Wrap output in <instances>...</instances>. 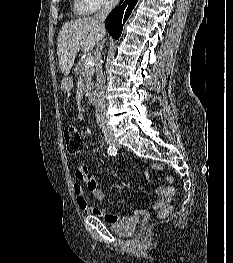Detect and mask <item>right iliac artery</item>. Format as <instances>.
Instances as JSON below:
<instances>
[{
	"instance_id": "1",
	"label": "right iliac artery",
	"mask_w": 233,
	"mask_h": 263,
	"mask_svg": "<svg viewBox=\"0 0 233 263\" xmlns=\"http://www.w3.org/2000/svg\"><path fill=\"white\" fill-rule=\"evenodd\" d=\"M107 152L111 156H115L117 154V149L115 146H109Z\"/></svg>"
}]
</instances>
